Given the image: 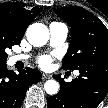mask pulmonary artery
<instances>
[{"mask_svg": "<svg viewBox=\"0 0 108 108\" xmlns=\"http://www.w3.org/2000/svg\"><path fill=\"white\" fill-rule=\"evenodd\" d=\"M50 31V45L52 47H57L66 40L68 34V28L64 23L53 22L49 26ZM30 56L27 54L15 55L11 57V62L15 63L17 61H23L28 59ZM79 72L76 71L75 75H78Z\"/></svg>", "mask_w": 108, "mask_h": 108, "instance_id": "e3ab8cb5", "label": "pulmonary artery"}]
</instances>
